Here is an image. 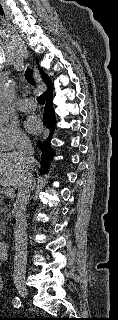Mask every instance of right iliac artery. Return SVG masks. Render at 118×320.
Returning a JSON list of instances; mask_svg holds the SVG:
<instances>
[{
	"mask_svg": "<svg viewBox=\"0 0 118 320\" xmlns=\"http://www.w3.org/2000/svg\"><path fill=\"white\" fill-rule=\"evenodd\" d=\"M12 304L15 308H19L22 304L21 300L19 297H15L12 301Z\"/></svg>",
	"mask_w": 118,
	"mask_h": 320,
	"instance_id": "82829eb1",
	"label": "right iliac artery"
}]
</instances>
